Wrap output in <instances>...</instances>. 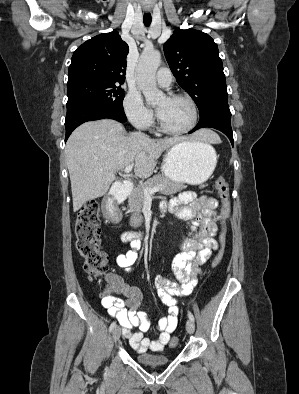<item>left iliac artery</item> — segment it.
<instances>
[{
  "label": "left iliac artery",
  "instance_id": "obj_1",
  "mask_svg": "<svg viewBox=\"0 0 299 394\" xmlns=\"http://www.w3.org/2000/svg\"><path fill=\"white\" fill-rule=\"evenodd\" d=\"M188 317L190 320H192L194 322V316L191 312H188Z\"/></svg>",
  "mask_w": 299,
  "mask_h": 394
}]
</instances>
